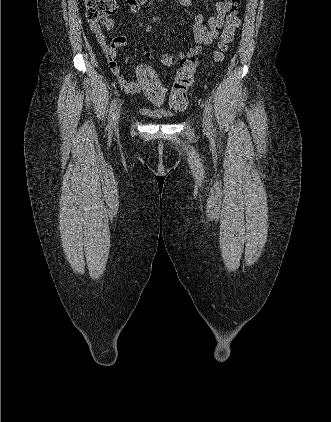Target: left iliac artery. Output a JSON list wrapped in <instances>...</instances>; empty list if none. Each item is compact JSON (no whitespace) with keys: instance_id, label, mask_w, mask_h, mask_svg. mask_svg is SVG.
<instances>
[{"instance_id":"1","label":"left iliac artery","mask_w":331,"mask_h":422,"mask_svg":"<svg viewBox=\"0 0 331 422\" xmlns=\"http://www.w3.org/2000/svg\"><path fill=\"white\" fill-rule=\"evenodd\" d=\"M205 109H206V112H207V114H208V118H209V121H210V128H211V130L213 131L214 129H213V124H212V121H211V117H212V107H211V105H210V103H209V101H208V100H206V101H205Z\"/></svg>"}]
</instances>
